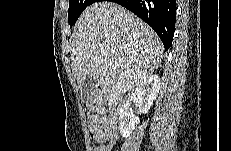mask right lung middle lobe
Listing matches in <instances>:
<instances>
[{"instance_id":"dd1d6c3e","label":"right lung middle lobe","mask_w":231,"mask_h":151,"mask_svg":"<svg viewBox=\"0 0 231 151\" xmlns=\"http://www.w3.org/2000/svg\"><path fill=\"white\" fill-rule=\"evenodd\" d=\"M97 0H69L68 23L73 26L81 13Z\"/></svg>"}]
</instances>
